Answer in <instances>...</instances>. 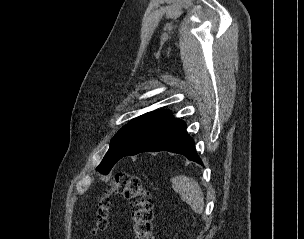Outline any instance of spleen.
Returning a JSON list of instances; mask_svg holds the SVG:
<instances>
[{
    "label": "spleen",
    "instance_id": "obj_1",
    "mask_svg": "<svg viewBox=\"0 0 304 239\" xmlns=\"http://www.w3.org/2000/svg\"><path fill=\"white\" fill-rule=\"evenodd\" d=\"M171 182L173 189L180 194L181 199L195 213L201 214L204 209V196L198 182L186 176H176L171 179Z\"/></svg>",
    "mask_w": 304,
    "mask_h": 239
}]
</instances>
